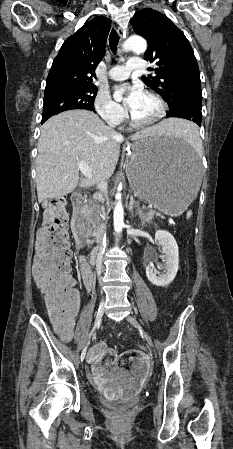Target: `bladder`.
<instances>
[{"label":"bladder","instance_id":"1","mask_svg":"<svg viewBox=\"0 0 233 449\" xmlns=\"http://www.w3.org/2000/svg\"><path fill=\"white\" fill-rule=\"evenodd\" d=\"M138 401V398L123 399V400H110L105 402L110 408L114 409H128L134 406Z\"/></svg>","mask_w":233,"mask_h":449}]
</instances>
